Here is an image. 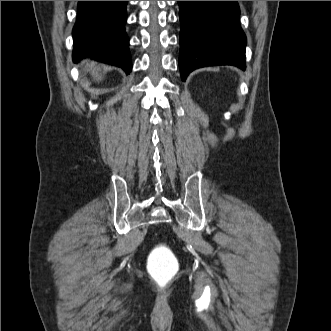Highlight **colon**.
<instances>
[{
  "label": "colon",
  "instance_id": "obj_1",
  "mask_svg": "<svg viewBox=\"0 0 331 331\" xmlns=\"http://www.w3.org/2000/svg\"><path fill=\"white\" fill-rule=\"evenodd\" d=\"M179 265L172 251L164 245L153 249L148 260V271L160 287L167 286L178 274Z\"/></svg>",
  "mask_w": 331,
  "mask_h": 331
}]
</instances>
